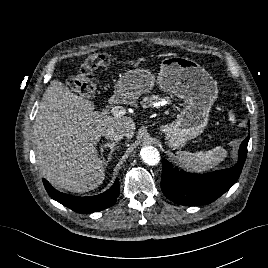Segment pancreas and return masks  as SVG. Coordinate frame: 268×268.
I'll return each mask as SVG.
<instances>
[{"label": "pancreas", "instance_id": "cf45deb5", "mask_svg": "<svg viewBox=\"0 0 268 268\" xmlns=\"http://www.w3.org/2000/svg\"><path fill=\"white\" fill-rule=\"evenodd\" d=\"M163 100H165V98H162L158 95H151V96L144 97L141 102V105L143 108H146L149 105H152L154 101H163Z\"/></svg>", "mask_w": 268, "mask_h": 268}]
</instances>
